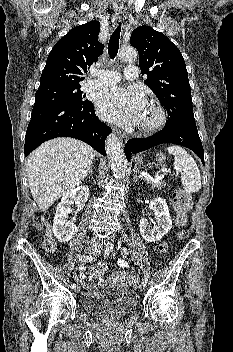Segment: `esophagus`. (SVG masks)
I'll return each instance as SVG.
<instances>
[{
  "instance_id": "1",
  "label": "esophagus",
  "mask_w": 233,
  "mask_h": 352,
  "mask_svg": "<svg viewBox=\"0 0 233 352\" xmlns=\"http://www.w3.org/2000/svg\"><path fill=\"white\" fill-rule=\"evenodd\" d=\"M125 14H126L125 9H119V12H118V18H119V20H123L124 17H125ZM117 133H118V135H119V139H120L121 145L126 144L127 141H128V137H127L125 134L121 133V132H117Z\"/></svg>"
}]
</instances>
